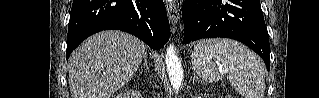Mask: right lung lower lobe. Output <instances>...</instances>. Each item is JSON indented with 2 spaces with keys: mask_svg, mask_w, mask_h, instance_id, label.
<instances>
[{
  "mask_svg": "<svg viewBox=\"0 0 319 98\" xmlns=\"http://www.w3.org/2000/svg\"><path fill=\"white\" fill-rule=\"evenodd\" d=\"M118 29L137 36L153 49L169 39L163 0H74L67 35V58L90 35Z\"/></svg>",
  "mask_w": 319,
  "mask_h": 98,
  "instance_id": "98d812e1",
  "label": "right lung lower lobe"
}]
</instances>
